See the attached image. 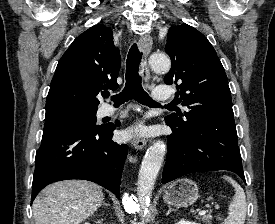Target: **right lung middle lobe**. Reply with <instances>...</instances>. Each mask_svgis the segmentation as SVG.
<instances>
[{
    "mask_svg": "<svg viewBox=\"0 0 275 224\" xmlns=\"http://www.w3.org/2000/svg\"><path fill=\"white\" fill-rule=\"evenodd\" d=\"M97 109L64 107L45 115V126L52 124H74L88 128H99L96 125Z\"/></svg>",
    "mask_w": 275,
    "mask_h": 224,
    "instance_id": "dd1d6c3e",
    "label": "right lung middle lobe"
}]
</instances>
